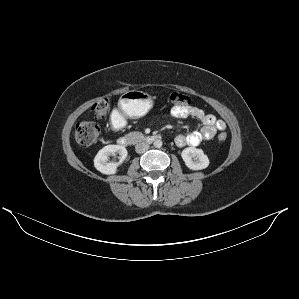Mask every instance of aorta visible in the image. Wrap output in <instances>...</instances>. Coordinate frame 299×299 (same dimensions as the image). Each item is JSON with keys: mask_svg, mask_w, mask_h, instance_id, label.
Segmentation results:
<instances>
[{"mask_svg": "<svg viewBox=\"0 0 299 299\" xmlns=\"http://www.w3.org/2000/svg\"><path fill=\"white\" fill-rule=\"evenodd\" d=\"M153 144H154V147H155V148H161L162 145H163L162 141L159 140V139H158V140H155Z\"/></svg>", "mask_w": 299, "mask_h": 299, "instance_id": "762f6f07", "label": "aorta"}]
</instances>
